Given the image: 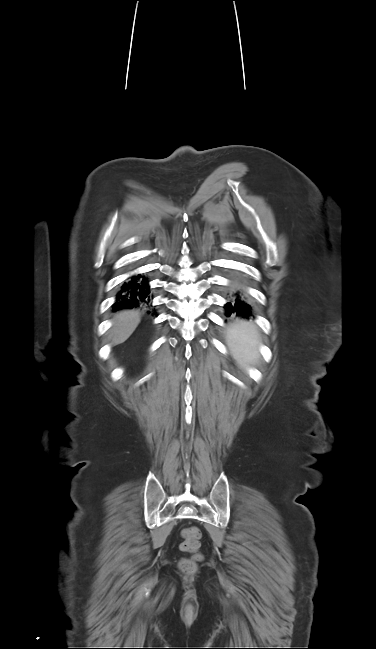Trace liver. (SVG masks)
I'll return each mask as SVG.
<instances>
[{
  "label": "liver",
  "mask_w": 376,
  "mask_h": 649,
  "mask_svg": "<svg viewBox=\"0 0 376 649\" xmlns=\"http://www.w3.org/2000/svg\"><path fill=\"white\" fill-rule=\"evenodd\" d=\"M141 312L138 310H123L116 314L115 323L109 338L112 345L124 343L140 323Z\"/></svg>",
  "instance_id": "liver-1"
}]
</instances>
